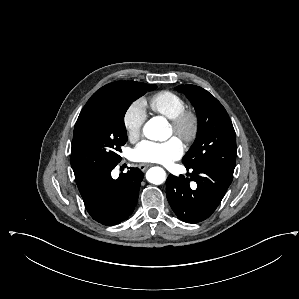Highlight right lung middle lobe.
Listing matches in <instances>:
<instances>
[{
  "mask_svg": "<svg viewBox=\"0 0 299 299\" xmlns=\"http://www.w3.org/2000/svg\"><path fill=\"white\" fill-rule=\"evenodd\" d=\"M155 88L143 83L138 89L112 94L78 117L71 149L77 184L121 161L118 153L127 141L124 115L133 101Z\"/></svg>",
  "mask_w": 299,
  "mask_h": 299,
  "instance_id": "1",
  "label": "right lung middle lobe"
}]
</instances>
